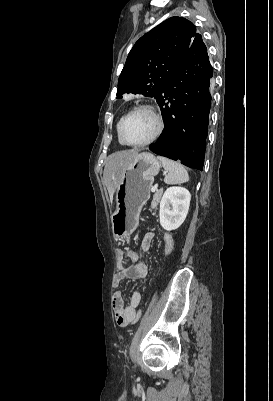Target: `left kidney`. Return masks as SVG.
<instances>
[{
  "mask_svg": "<svg viewBox=\"0 0 273 401\" xmlns=\"http://www.w3.org/2000/svg\"><path fill=\"white\" fill-rule=\"evenodd\" d=\"M191 194L183 186H170L160 201V225L165 231H174L184 223L189 211Z\"/></svg>",
  "mask_w": 273,
  "mask_h": 401,
  "instance_id": "left-kidney-1",
  "label": "left kidney"
}]
</instances>
